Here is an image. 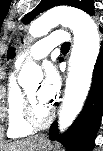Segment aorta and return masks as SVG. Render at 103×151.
<instances>
[{
	"label": "aorta",
	"instance_id": "762f6f07",
	"mask_svg": "<svg viewBox=\"0 0 103 151\" xmlns=\"http://www.w3.org/2000/svg\"><path fill=\"white\" fill-rule=\"evenodd\" d=\"M58 24L68 26L74 34V45L69 61L63 105L59 116V128H68L81 112L88 95L94 66L99 54L100 39L93 19L81 10L55 7L31 23L29 33L37 38L48 34ZM39 70L34 62L23 65L20 77Z\"/></svg>",
	"mask_w": 103,
	"mask_h": 151
}]
</instances>
